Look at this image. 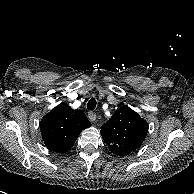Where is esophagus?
<instances>
[{
	"instance_id": "1",
	"label": "esophagus",
	"mask_w": 194,
	"mask_h": 194,
	"mask_svg": "<svg viewBox=\"0 0 194 194\" xmlns=\"http://www.w3.org/2000/svg\"><path fill=\"white\" fill-rule=\"evenodd\" d=\"M88 118H89L90 121L94 122L96 120V113L90 111L88 113Z\"/></svg>"
}]
</instances>
